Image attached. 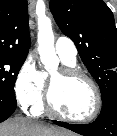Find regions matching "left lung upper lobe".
<instances>
[{
  "mask_svg": "<svg viewBox=\"0 0 117 136\" xmlns=\"http://www.w3.org/2000/svg\"><path fill=\"white\" fill-rule=\"evenodd\" d=\"M56 23L98 83L102 103L117 93V29L103 0H50Z\"/></svg>",
  "mask_w": 117,
  "mask_h": 136,
  "instance_id": "obj_1",
  "label": "left lung upper lobe"
}]
</instances>
